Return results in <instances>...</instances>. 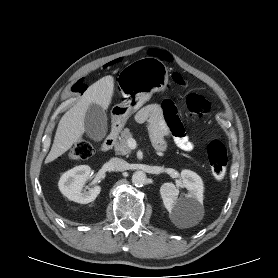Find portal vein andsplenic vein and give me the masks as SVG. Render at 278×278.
Returning a JSON list of instances; mask_svg holds the SVG:
<instances>
[{
	"mask_svg": "<svg viewBox=\"0 0 278 278\" xmlns=\"http://www.w3.org/2000/svg\"><path fill=\"white\" fill-rule=\"evenodd\" d=\"M128 146H129L131 149L136 148V141H135L133 138L129 139V140H128Z\"/></svg>",
	"mask_w": 278,
	"mask_h": 278,
	"instance_id": "1",
	"label": "portal vein and splenic vein"
}]
</instances>
